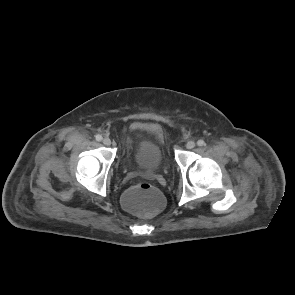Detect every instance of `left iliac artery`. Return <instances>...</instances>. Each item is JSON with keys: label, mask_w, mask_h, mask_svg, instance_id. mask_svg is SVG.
I'll return each mask as SVG.
<instances>
[{"label": "left iliac artery", "mask_w": 295, "mask_h": 295, "mask_svg": "<svg viewBox=\"0 0 295 295\" xmlns=\"http://www.w3.org/2000/svg\"><path fill=\"white\" fill-rule=\"evenodd\" d=\"M197 144H198V146H204L205 142L203 140H198Z\"/></svg>", "instance_id": "obj_1"}]
</instances>
